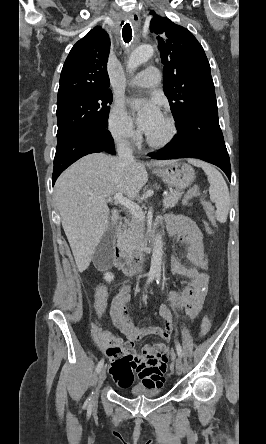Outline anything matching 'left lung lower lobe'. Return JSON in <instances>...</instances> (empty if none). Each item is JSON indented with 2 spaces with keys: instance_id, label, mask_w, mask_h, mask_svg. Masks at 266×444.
<instances>
[{
  "instance_id": "obj_1",
  "label": "left lung lower lobe",
  "mask_w": 266,
  "mask_h": 444,
  "mask_svg": "<svg viewBox=\"0 0 266 444\" xmlns=\"http://www.w3.org/2000/svg\"><path fill=\"white\" fill-rule=\"evenodd\" d=\"M179 133L153 159L198 158L221 168L231 181L229 155L218 121V108L194 110L177 124Z\"/></svg>"
}]
</instances>
